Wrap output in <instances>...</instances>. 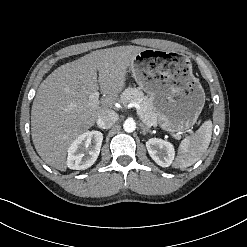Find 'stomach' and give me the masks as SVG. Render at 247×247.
Wrapping results in <instances>:
<instances>
[{"mask_svg":"<svg viewBox=\"0 0 247 247\" xmlns=\"http://www.w3.org/2000/svg\"><path fill=\"white\" fill-rule=\"evenodd\" d=\"M129 72L145 91L161 129L180 132L194 126L205 104V93L187 57L173 51L145 49Z\"/></svg>","mask_w":247,"mask_h":247,"instance_id":"0dacf381","label":"stomach"}]
</instances>
